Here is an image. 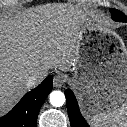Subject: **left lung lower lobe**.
I'll list each match as a JSON object with an SVG mask.
<instances>
[{"mask_svg": "<svg viewBox=\"0 0 127 127\" xmlns=\"http://www.w3.org/2000/svg\"><path fill=\"white\" fill-rule=\"evenodd\" d=\"M67 110L72 127H89L80 113L77 100L70 89L65 91Z\"/></svg>", "mask_w": 127, "mask_h": 127, "instance_id": "obj_1", "label": "left lung lower lobe"}]
</instances>
